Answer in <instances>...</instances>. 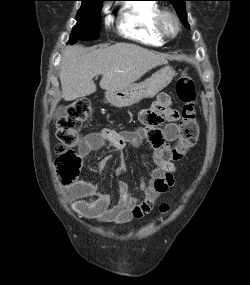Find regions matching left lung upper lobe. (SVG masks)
I'll list each match as a JSON object with an SVG mask.
<instances>
[{
    "instance_id": "1",
    "label": "left lung upper lobe",
    "mask_w": 250,
    "mask_h": 285,
    "mask_svg": "<svg viewBox=\"0 0 250 285\" xmlns=\"http://www.w3.org/2000/svg\"><path fill=\"white\" fill-rule=\"evenodd\" d=\"M170 1L175 8L177 14L179 15L180 20L183 22L186 28H190L189 24L187 23V14L185 10V1L187 0H166Z\"/></svg>"
}]
</instances>
